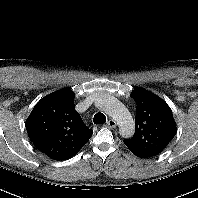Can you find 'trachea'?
Listing matches in <instances>:
<instances>
[{"instance_id":"trachea-1","label":"trachea","mask_w":198,"mask_h":198,"mask_svg":"<svg viewBox=\"0 0 198 198\" xmlns=\"http://www.w3.org/2000/svg\"><path fill=\"white\" fill-rule=\"evenodd\" d=\"M93 122L94 124H104L106 122V116L101 112L96 113L94 115Z\"/></svg>"}]
</instances>
